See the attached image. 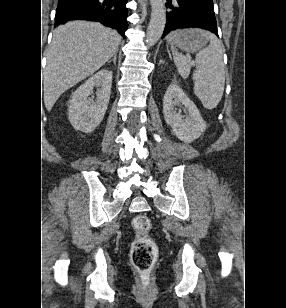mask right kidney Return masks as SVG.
Wrapping results in <instances>:
<instances>
[{
    "label": "right kidney",
    "instance_id": "right-kidney-1",
    "mask_svg": "<svg viewBox=\"0 0 286 308\" xmlns=\"http://www.w3.org/2000/svg\"><path fill=\"white\" fill-rule=\"evenodd\" d=\"M112 85V72L100 70L71 96L68 107V118L72 126L84 133H91L101 123L106 113ZM94 86L99 90L96 93L97 101L89 104L87 97L93 92Z\"/></svg>",
    "mask_w": 286,
    "mask_h": 308
}]
</instances>
